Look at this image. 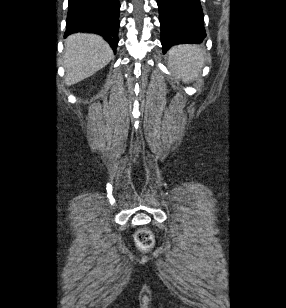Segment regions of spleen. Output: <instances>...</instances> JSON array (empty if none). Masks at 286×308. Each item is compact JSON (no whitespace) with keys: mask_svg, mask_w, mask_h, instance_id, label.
<instances>
[{"mask_svg":"<svg viewBox=\"0 0 286 308\" xmlns=\"http://www.w3.org/2000/svg\"><path fill=\"white\" fill-rule=\"evenodd\" d=\"M169 67L173 75L185 82L195 80L205 64L204 52L194 45H178L169 51Z\"/></svg>","mask_w":286,"mask_h":308,"instance_id":"1","label":"spleen"}]
</instances>
